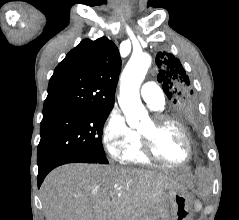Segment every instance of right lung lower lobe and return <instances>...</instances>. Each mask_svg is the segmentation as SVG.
Returning a JSON list of instances; mask_svg holds the SVG:
<instances>
[{
    "instance_id": "98d812e1",
    "label": "right lung lower lobe",
    "mask_w": 239,
    "mask_h": 220,
    "mask_svg": "<svg viewBox=\"0 0 239 220\" xmlns=\"http://www.w3.org/2000/svg\"><path fill=\"white\" fill-rule=\"evenodd\" d=\"M66 163H97L88 159H77V158H58L49 161L42 166H38V187H40L45 176L55 167L66 164Z\"/></svg>"
}]
</instances>
